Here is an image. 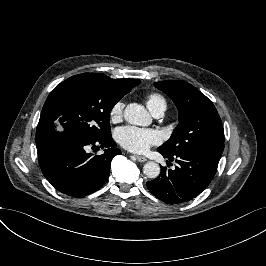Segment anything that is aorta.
<instances>
[{"label":"aorta","mask_w":266,"mask_h":266,"mask_svg":"<svg viewBox=\"0 0 266 266\" xmlns=\"http://www.w3.org/2000/svg\"><path fill=\"white\" fill-rule=\"evenodd\" d=\"M123 117L132 125H149L151 121L149 113L138 103L128 104L123 111ZM160 171V166L156 162H147L143 167V173L149 179H156Z\"/></svg>","instance_id":"762f6f07"}]
</instances>
